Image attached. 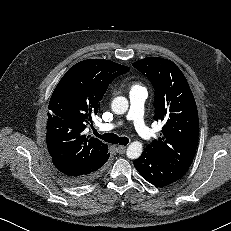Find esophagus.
Wrapping results in <instances>:
<instances>
[{"label":"esophagus","mask_w":231,"mask_h":231,"mask_svg":"<svg viewBox=\"0 0 231 231\" xmlns=\"http://www.w3.org/2000/svg\"><path fill=\"white\" fill-rule=\"evenodd\" d=\"M125 151H126V147H124V146H118V147H117V152H118L119 154H124Z\"/></svg>","instance_id":"esophagus-1"}]
</instances>
